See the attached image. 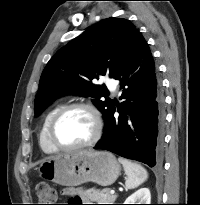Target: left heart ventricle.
<instances>
[{"label":"left heart ventricle","instance_id":"1","mask_svg":"<svg viewBox=\"0 0 200 205\" xmlns=\"http://www.w3.org/2000/svg\"><path fill=\"white\" fill-rule=\"evenodd\" d=\"M94 131L91 115L84 109L66 112L57 122L55 138L64 146H73L89 140Z\"/></svg>","mask_w":200,"mask_h":205}]
</instances>
